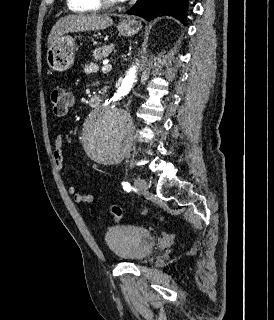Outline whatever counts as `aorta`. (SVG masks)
<instances>
[{
    "label": "aorta",
    "mask_w": 274,
    "mask_h": 320,
    "mask_svg": "<svg viewBox=\"0 0 274 320\" xmlns=\"http://www.w3.org/2000/svg\"><path fill=\"white\" fill-rule=\"evenodd\" d=\"M136 72V66L127 71L114 95L94 110L83 126V148L88 157L95 162L120 161L131 148L133 124L123 104L133 87Z\"/></svg>",
    "instance_id": "1"
}]
</instances>
